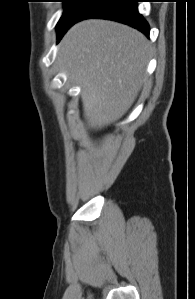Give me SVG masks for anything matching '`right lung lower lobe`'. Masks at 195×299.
I'll list each match as a JSON object with an SVG mask.
<instances>
[{"label": "right lung lower lobe", "mask_w": 195, "mask_h": 299, "mask_svg": "<svg viewBox=\"0 0 195 299\" xmlns=\"http://www.w3.org/2000/svg\"><path fill=\"white\" fill-rule=\"evenodd\" d=\"M136 3L137 0H94L83 14L66 28L62 36L73 24L88 18L117 21L127 24L149 36V25L143 16L138 13Z\"/></svg>", "instance_id": "98d812e1"}]
</instances>
